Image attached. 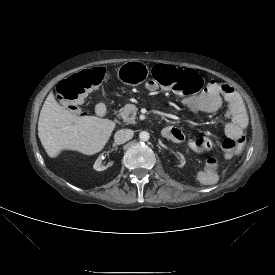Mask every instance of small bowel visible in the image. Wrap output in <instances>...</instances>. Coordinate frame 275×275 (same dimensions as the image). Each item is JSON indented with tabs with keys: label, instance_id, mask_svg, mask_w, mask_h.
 <instances>
[{
	"label": "small bowel",
	"instance_id": "small-bowel-1",
	"mask_svg": "<svg viewBox=\"0 0 275 275\" xmlns=\"http://www.w3.org/2000/svg\"><path fill=\"white\" fill-rule=\"evenodd\" d=\"M223 101L227 103L225 117L228 119L225 134L229 138L239 139L245 135L248 117L240 96L231 86L212 81L202 93L187 98L185 105L196 112L214 113L219 110ZM162 134L174 142L181 143L185 140L184 133L175 127L165 128ZM186 147L189 152L201 157L210 155L213 150L211 141L198 135L189 137ZM220 172L219 160L209 157L204 160L202 168L198 170L196 179L202 186L211 188L218 184Z\"/></svg>",
	"mask_w": 275,
	"mask_h": 275
}]
</instances>
